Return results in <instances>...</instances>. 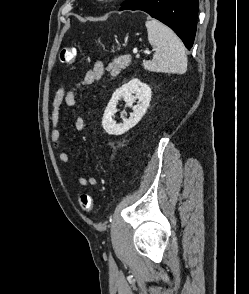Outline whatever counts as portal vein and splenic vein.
I'll return each mask as SVG.
<instances>
[{
	"mask_svg": "<svg viewBox=\"0 0 249 294\" xmlns=\"http://www.w3.org/2000/svg\"><path fill=\"white\" fill-rule=\"evenodd\" d=\"M133 53H134V54H137V53H138V50H137V49H134V50H133ZM145 53H146V54H150L151 52H150V51H145Z\"/></svg>",
	"mask_w": 249,
	"mask_h": 294,
	"instance_id": "1",
	"label": "portal vein and splenic vein"
}]
</instances>
